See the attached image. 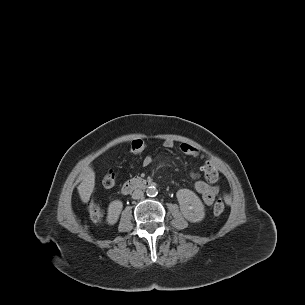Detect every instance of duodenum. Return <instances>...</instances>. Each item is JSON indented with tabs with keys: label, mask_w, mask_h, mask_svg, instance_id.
Here are the masks:
<instances>
[{
	"label": "duodenum",
	"mask_w": 305,
	"mask_h": 305,
	"mask_svg": "<svg viewBox=\"0 0 305 305\" xmlns=\"http://www.w3.org/2000/svg\"><path fill=\"white\" fill-rule=\"evenodd\" d=\"M153 186H156V182L153 180L145 178H133L123 184L121 191L123 194H129L136 189H147Z\"/></svg>",
	"instance_id": "duodenum-1"
}]
</instances>
